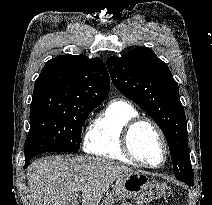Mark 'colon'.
<instances>
[{
  "label": "colon",
  "instance_id": "1",
  "mask_svg": "<svg viewBox=\"0 0 212 205\" xmlns=\"http://www.w3.org/2000/svg\"><path fill=\"white\" fill-rule=\"evenodd\" d=\"M173 196L170 186L161 182H152L134 203L123 202L121 205H145L156 200H169Z\"/></svg>",
  "mask_w": 212,
  "mask_h": 205
}]
</instances>
